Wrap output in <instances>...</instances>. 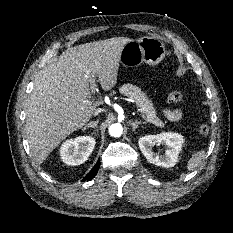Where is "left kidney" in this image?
Instances as JSON below:
<instances>
[{"label": "left kidney", "mask_w": 233, "mask_h": 233, "mask_svg": "<svg viewBox=\"0 0 233 233\" xmlns=\"http://www.w3.org/2000/svg\"><path fill=\"white\" fill-rule=\"evenodd\" d=\"M184 143L183 136L178 133L164 132L157 135L143 136L138 140L139 148L148 162L161 167H173ZM165 145V154L153 151L155 145Z\"/></svg>", "instance_id": "left-kidney-1"}]
</instances>
